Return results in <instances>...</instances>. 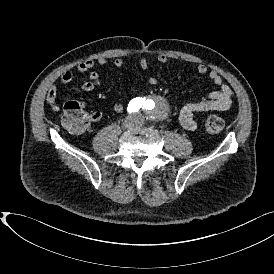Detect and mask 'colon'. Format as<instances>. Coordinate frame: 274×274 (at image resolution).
Listing matches in <instances>:
<instances>
[{
    "instance_id": "obj_1",
    "label": "colon",
    "mask_w": 274,
    "mask_h": 274,
    "mask_svg": "<svg viewBox=\"0 0 274 274\" xmlns=\"http://www.w3.org/2000/svg\"><path fill=\"white\" fill-rule=\"evenodd\" d=\"M89 116L78 101H68L63 105L62 124L74 133H81L88 124ZM224 128V122L219 116L206 120L205 129L208 134H218Z\"/></svg>"
}]
</instances>
